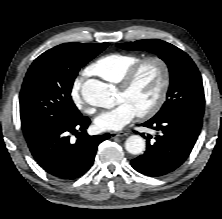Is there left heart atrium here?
Here are the masks:
<instances>
[{
  "mask_svg": "<svg viewBox=\"0 0 222 219\" xmlns=\"http://www.w3.org/2000/svg\"><path fill=\"white\" fill-rule=\"evenodd\" d=\"M136 115L137 112L130 103L121 101L114 108L101 112L94 123L101 131H119L128 125Z\"/></svg>",
  "mask_w": 222,
  "mask_h": 219,
  "instance_id": "left-heart-atrium-1",
  "label": "left heart atrium"
}]
</instances>
